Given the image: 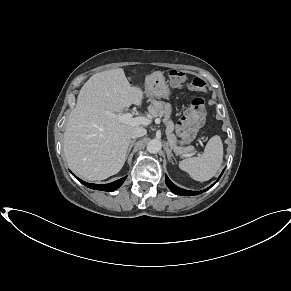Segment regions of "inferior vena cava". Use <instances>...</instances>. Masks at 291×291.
<instances>
[{
  "label": "inferior vena cava",
  "instance_id": "602c4592",
  "mask_svg": "<svg viewBox=\"0 0 291 291\" xmlns=\"http://www.w3.org/2000/svg\"><path fill=\"white\" fill-rule=\"evenodd\" d=\"M146 133H147V131L145 128L137 126L131 132V138L132 139L139 138V137L144 136Z\"/></svg>",
  "mask_w": 291,
  "mask_h": 291
}]
</instances>
